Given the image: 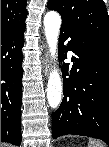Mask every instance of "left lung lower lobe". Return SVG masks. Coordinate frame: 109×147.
<instances>
[{"label": "left lung lower lobe", "mask_w": 109, "mask_h": 147, "mask_svg": "<svg viewBox=\"0 0 109 147\" xmlns=\"http://www.w3.org/2000/svg\"><path fill=\"white\" fill-rule=\"evenodd\" d=\"M65 48L72 51L73 65L64 64V98L52 114V136L82 135L103 140L109 145V44L62 24L59 57L66 59Z\"/></svg>", "instance_id": "left-lung-lower-lobe-1"}]
</instances>
